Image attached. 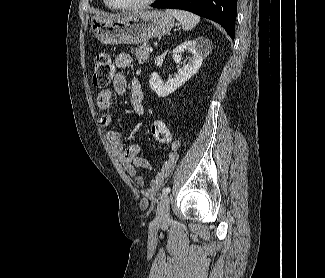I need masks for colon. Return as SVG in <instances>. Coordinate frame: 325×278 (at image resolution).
<instances>
[{"label": "colon", "instance_id": "1", "mask_svg": "<svg viewBox=\"0 0 325 278\" xmlns=\"http://www.w3.org/2000/svg\"><path fill=\"white\" fill-rule=\"evenodd\" d=\"M114 75V67L110 57L106 53L97 55L94 65L93 85L97 88L107 87ZM153 136L162 143L171 142V133L165 122L154 120L151 123Z\"/></svg>", "mask_w": 325, "mask_h": 278}]
</instances>
